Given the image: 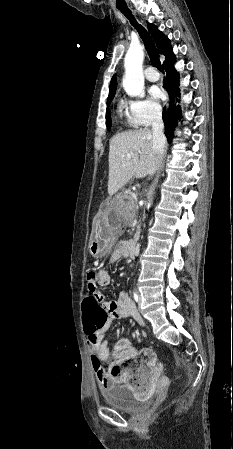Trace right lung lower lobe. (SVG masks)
Returning <instances> with one entry per match:
<instances>
[{
	"mask_svg": "<svg viewBox=\"0 0 233 449\" xmlns=\"http://www.w3.org/2000/svg\"><path fill=\"white\" fill-rule=\"evenodd\" d=\"M174 63L164 66L167 77L164 81V86L169 94L170 102L168 113L163 110V121L165 125V134L168 140L173 138L174 127L178 119H181V110L179 105L180 89H179V73L174 68Z\"/></svg>",
	"mask_w": 233,
	"mask_h": 449,
	"instance_id": "obj_1",
	"label": "right lung lower lobe"
}]
</instances>
